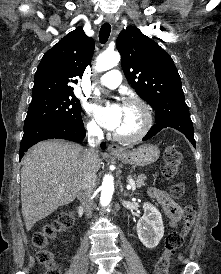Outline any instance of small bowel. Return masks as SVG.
Masks as SVG:
<instances>
[{"mask_svg":"<svg viewBox=\"0 0 221 274\" xmlns=\"http://www.w3.org/2000/svg\"><path fill=\"white\" fill-rule=\"evenodd\" d=\"M148 194L150 197L157 200L165 214L168 216L170 225L175 227L183 216V208L165 191L159 190L157 188H150L148 190Z\"/></svg>","mask_w":221,"mask_h":274,"instance_id":"c3829d8e","label":"small bowel"}]
</instances>
